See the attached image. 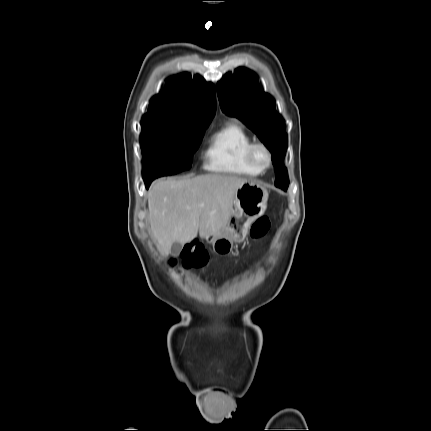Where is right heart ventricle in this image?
<instances>
[{"label": "right heart ventricle", "mask_w": 431, "mask_h": 431, "mask_svg": "<svg viewBox=\"0 0 431 431\" xmlns=\"http://www.w3.org/2000/svg\"><path fill=\"white\" fill-rule=\"evenodd\" d=\"M253 142L249 133L237 122H229L217 130L209 140L205 153V168L212 172L241 176H258L261 170L246 158Z\"/></svg>", "instance_id": "obj_1"}]
</instances>
